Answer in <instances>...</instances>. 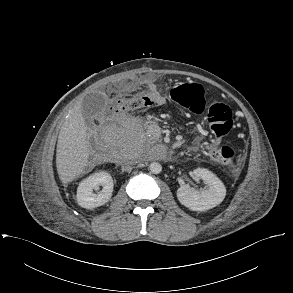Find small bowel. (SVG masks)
Here are the masks:
<instances>
[{"instance_id":"1","label":"small bowel","mask_w":293,"mask_h":293,"mask_svg":"<svg viewBox=\"0 0 293 293\" xmlns=\"http://www.w3.org/2000/svg\"><path fill=\"white\" fill-rule=\"evenodd\" d=\"M124 88L127 90H135L139 88H145L154 97L155 105H163L166 102V98L159 92L154 77L146 75L140 78L132 79L125 83ZM196 149V147H192Z\"/></svg>"}]
</instances>
